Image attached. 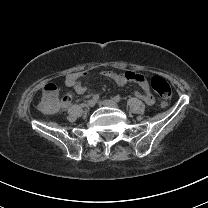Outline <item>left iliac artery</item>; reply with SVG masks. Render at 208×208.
<instances>
[{"instance_id": "44dca946", "label": "left iliac artery", "mask_w": 208, "mask_h": 208, "mask_svg": "<svg viewBox=\"0 0 208 208\" xmlns=\"http://www.w3.org/2000/svg\"><path fill=\"white\" fill-rule=\"evenodd\" d=\"M114 100L116 102H120L121 101V97L119 95H117V96L114 97Z\"/></svg>"}]
</instances>
